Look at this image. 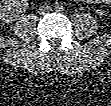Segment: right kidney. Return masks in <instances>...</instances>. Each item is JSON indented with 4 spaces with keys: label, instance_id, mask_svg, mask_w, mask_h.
Segmentation results:
<instances>
[{
    "label": "right kidney",
    "instance_id": "right-kidney-1",
    "mask_svg": "<svg viewBox=\"0 0 111 106\" xmlns=\"http://www.w3.org/2000/svg\"><path fill=\"white\" fill-rule=\"evenodd\" d=\"M12 5V3L5 1L1 6V17L6 21H14L18 17L15 14V10L13 9Z\"/></svg>",
    "mask_w": 111,
    "mask_h": 106
}]
</instances>
